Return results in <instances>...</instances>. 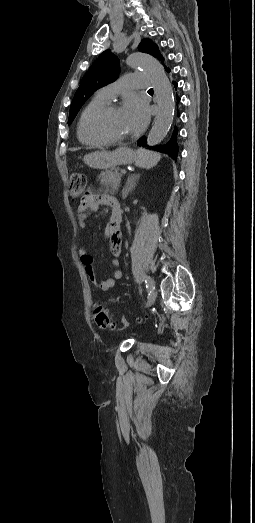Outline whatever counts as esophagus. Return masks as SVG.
Segmentation results:
<instances>
[{
    "mask_svg": "<svg viewBox=\"0 0 255 523\" xmlns=\"http://www.w3.org/2000/svg\"><path fill=\"white\" fill-rule=\"evenodd\" d=\"M156 103H157V105H158V102H156ZM158 111H159V110H157V112H156V116H157V114H158Z\"/></svg>",
    "mask_w": 255,
    "mask_h": 523,
    "instance_id": "esophagus-1",
    "label": "esophagus"
}]
</instances>
